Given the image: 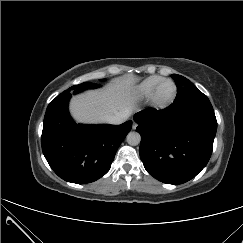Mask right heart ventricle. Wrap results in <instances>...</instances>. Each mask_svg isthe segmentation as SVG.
<instances>
[{
  "label": "right heart ventricle",
  "instance_id": "right-heart-ventricle-1",
  "mask_svg": "<svg viewBox=\"0 0 243 243\" xmlns=\"http://www.w3.org/2000/svg\"><path fill=\"white\" fill-rule=\"evenodd\" d=\"M164 80L162 76H149L132 89V96L137 100L149 99L156 86Z\"/></svg>",
  "mask_w": 243,
  "mask_h": 243
}]
</instances>
